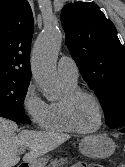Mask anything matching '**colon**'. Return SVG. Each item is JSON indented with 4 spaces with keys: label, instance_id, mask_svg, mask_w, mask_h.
<instances>
[{
    "label": "colon",
    "instance_id": "colon-1",
    "mask_svg": "<svg viewBox=\"0 0 125 167\" xmlns=\"http://www.w3.org/2000/svg\"><path fill=\"white\" fill-rule=\"evenodd\" d=\"M124 151H125V148H124ZM118 167H125V163L120 164Z\"/></svg>",
    "mask_w": 125,
    "mask_h": 167
}]
</instances>
